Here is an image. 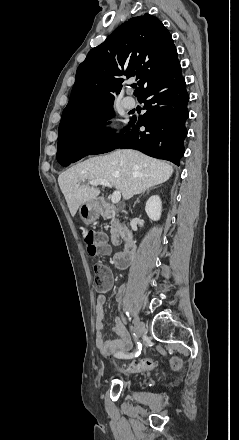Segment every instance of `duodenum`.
I'll list each match as a JSON object with an SVG mask.
<instances>
[{
    "label": "duodenum",
    "mask_w": 239,
    "mask_h": 440,
    "mask_svg": "<svg viewBox=\"0 0 239 440\" xmlns=\"http://www.w3.org/2000/svg\"><path fill=\"white\" fill-rule=\"evenodd\" d=\"M100 209L104 214H111L118 211L114 205L105 200L100 201ZM123 238L125 243L123 251L116 253L112 258V263L119 269H124L129 266L136 251V242L130 230H124Z\"/></svg>",
    "instance_id": "duodenum-1"
}]
</instances>
